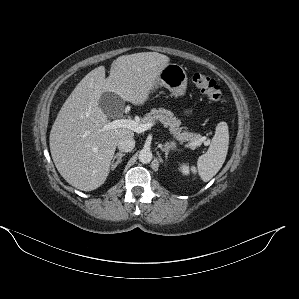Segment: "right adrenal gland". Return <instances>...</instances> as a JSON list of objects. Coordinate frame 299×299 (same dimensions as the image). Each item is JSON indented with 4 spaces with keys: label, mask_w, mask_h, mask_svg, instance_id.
<instances>
[{
    "label": "right adrenal gland",
    "mask_w": 299,
    "mask_h": 299,
    "mask_svg": "<svg viewBox=\"0 0 299 299\" xmlns=\"http://www.w3.org/2000/svg\"><path fill=\"white\" fill-rule=\"evenodd\" d=\"M125 156V153H116L111 161V170L115 168L122 162V157ZM116 160V161H115Z\"/></svg>",
    "instance_id": "1"
}]
</instances>
